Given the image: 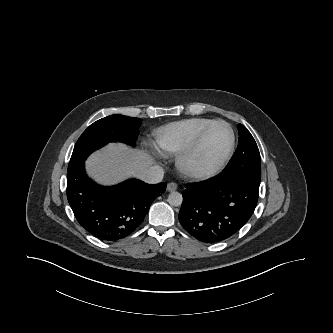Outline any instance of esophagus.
Listing matches in <instances>:
<instances>
[{
  "mask_svg": "<svg viewBox=\"0 0 333 333\" xmlns=\"http://www.w3.org/2000/svg\"><path fill=\"white\" fill-rule=\"evenodd\" d=\"M177 188H178V186H177V184L174 183V182H170V183H168V185H167V190H168L169 192L175 191Z\"/></svg>",
  "mask_w": 333,
  "mask_h": 333,
  "instance_id": "34e87169",
  "label": "esophagus"
}]
</instances>
